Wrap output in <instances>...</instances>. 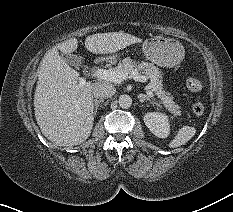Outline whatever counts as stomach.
I'll return each mask as SVG.
<instances>
[{
    "instance_id": "stomach-1",
    "label": "stomach",
    "mask_w": 233,
    "mask_h": 212,
    "mask_svg": "<svg viewBox=\"0 0 233 212\" xmlns=\"http://www.w3.org/2000/svg\"><path fill=\"white\" fill-rule=\"evenodd\" d=\"M142 51L149 61L163 67H174L184 58V47L171 38L146 39L142 45Z\"/></svg>"
}]
</instances>
